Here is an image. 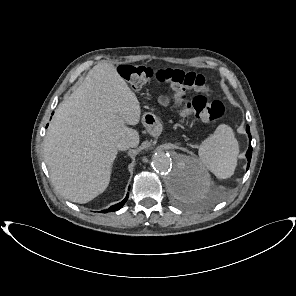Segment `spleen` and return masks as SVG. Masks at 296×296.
<instances>
[{"label":"spleen","instance_id":"3e777b00","mask_svg":"<svg viewBox=\"0 0 296 296\" xmlns=\"http://www.w3.org/2000/svg\"><path fill=\"white\" fill-rule=\"evenodd\" d=\"M239 147L233 130L225 124L217 127L199 147V157L216 177L227 179L234 174ZM199 193L190 192V195Z\"/></svg>","mask_w":296,"mask_h":296}]
</instances>
